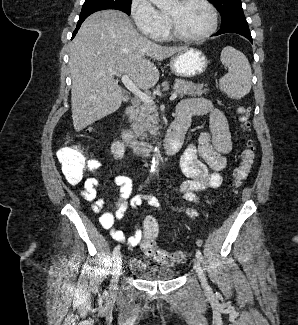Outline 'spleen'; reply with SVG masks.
<instances>
[{"mask_svg":"<svg viewBox=\"0 0 298 325\" xmlns=\"http://www.w3.org/2000/svg\"><path fill=\"white\" fill-rule=\"evenodd\" d=\"M220 60L228 68V72L219 78L220 90L230 98H242L248 94L252 86V70L247 56L233 46H224Z\"/></svg>","mask_w":298,"mask_h":325,"instance_id":"1","label":"spleen"}]
</instances>
